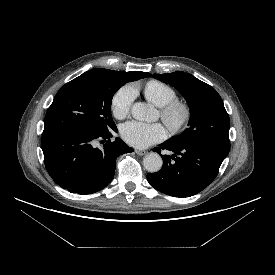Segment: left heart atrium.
I'll use <instances>...</instances> for the list:
<instances>
[{"instance_id": "39dd6f15", "label": "left heart atrium", "mask_w": 275, "mask_h": 275, "mask_svg": "<svg viewBox=\"0 0 275 275\" xmlns=\"http://www.w3.org/2000/svg\"><path fill=\"white\" fill-rule=\"evenodd\" d=\"M125 142L136 148H146L167 137L165 127L160 123L129 121L120 130Z\"/></svg>"}]
</instances>
